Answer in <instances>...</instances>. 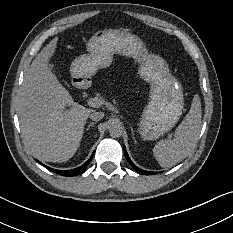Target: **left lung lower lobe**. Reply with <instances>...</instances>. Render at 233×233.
Returning a JSON list of instances; mask_svg holds the SVG:
<instances>
[{
  "instance_id": "left-lung-lower-lobe-1",
  "label": "left lung lower lobe",
  "mask_w": 233,
  "mask_h": 233,
  "mask_svg": "<svg viewBox=\"0 0 233 233\" xmlns=\"http://www.w3.org/2000/svg\"><path fill=\"white\" fill-rule=\"evenodd\" d=\"M124 153H125V157L126 159L128 160V162L130 163V165L139 173L141 174H145V175H153V174H156V172H149V171H145V170H142L140 168H138L132 161L131 159L129 158L127 152H126V149L124 147Z\"/></svg>"
}]
</instances>
